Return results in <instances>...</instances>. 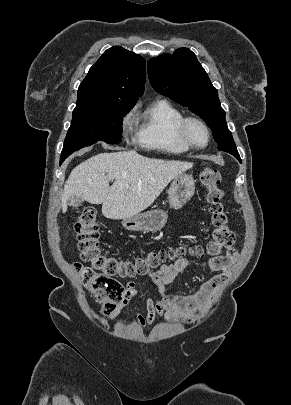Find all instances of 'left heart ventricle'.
<instances>
[{
	"label": "left heart ventricle",
	"instance_id": "obj_1",
	"mask_svg": "<svg viewBox=\"0 0 291 405\" xmlns=\"http://www.w3.org/2000/svg\"><path fill=\"white\" fill-rule=\"evenodd\" d=\"M189 136L191 140L197 145H203L206 142V134L204 130L196 124L190 125Z\"/></svg>",
	"mask_w": 291,
	"mask_h": 405
}]
</instances>
